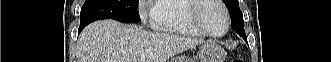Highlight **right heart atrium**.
Instances as JSON below:
<instances>
[{"mask_svg": "<svg viewBox=\"0 0 331 62\" xmlns=\"http://www.w3.org/2000/svg\"><path fill=\"white\" fill-rule=\"evenodd\" d=\"M158 3V1H140L139 6H140V14L141 18L144 22L148 20V10L155 4Z\"/></svg>", "mask_w": 331, "mask_h": 62, "instance_id": "1", "label": "right heart atrium"}]
</instances>
